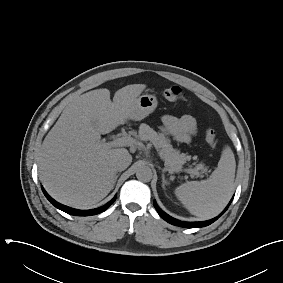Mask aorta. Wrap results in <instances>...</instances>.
<instances>
[{
	"mask_svg": "<svg viewBox=\"0 0 283 283\" xmlns=\"http://www.w3.org/2000/svg\"><path fill=\"white\" fill-rule=\"evenodd\" d=\"M136 177L140 181L149 182L153 177L151 168L146 165L139 166L136 171Z\"/></svg>",
	"mask_w": 283,
	"mask_h": 283,
	"instance_id": "aorta-1",
	"label": "aorta"
}]
</instances>
